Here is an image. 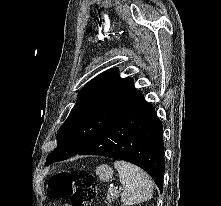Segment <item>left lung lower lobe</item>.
<instances>
[{
    "label": "left lung lower lobe",
    "instance_id": "obj_1",
    "mask_svg": "<svg viewBox=\"0 0 221 206\" xmlns=\"http://www.w3.org/2000/svg\"><path fill=\"white\" fill-rule=\"evenodd\" d=\"M76 154L131 162L151 175L163 191V127L153 106L138 97L102 133Z\"/></svg>",
    "mask_w": 221,
    "mask_h": 206
}]
</instances>
